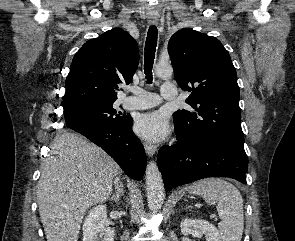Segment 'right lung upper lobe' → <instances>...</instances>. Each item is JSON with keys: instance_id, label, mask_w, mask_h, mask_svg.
<instances>
[{"instance_id": "cb5924a9", "label": "right lung upper lobe", "mask_w": 295, "mask_h": 241, "mask_svg": "<svg viewBox=\"0 0 295 241\" xmlns=\"http://www.w3.org/2000/svg\"><path fill=\"white\" fill-rule=\"evenodd\" d=\"M138 62L137 42L122 29L87 41L74 56L66 79L64 112L114 103L119 85L132 81Z\"/></svg>"}]
</instances>
